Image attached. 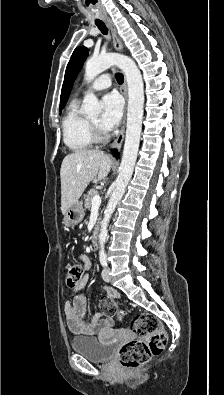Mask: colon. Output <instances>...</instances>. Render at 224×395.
I'll return each mask as SVG.
<instances>
[{"mask_svg": "<svg viewBox=\"0 0 224 395\" xmlns=\"http://www.w3.org/2000/svg\"><path fill=\"white\" fill-rule=\"evenodd\" d=\"M80 266L71 264L67 268V279L75 285L81 278ZM100 310L107 316H113L118 320H124V313L117 303L110 297L104 296L99 302ZM135 339L124 344L118 352V360L122 368L135 369L158 356L164 350L167 343V334L161 322L149 313H141L135 316L131 324Z\"/></svg>", "mask_w": 224, "mask_h": 395, "instance_id": "colon-1", "label": "colon"}]
</instances>
